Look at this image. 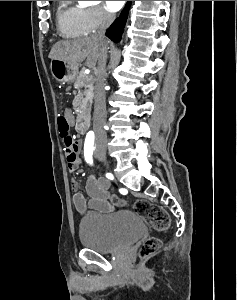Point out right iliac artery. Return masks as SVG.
<instances>
[{"mask_svg": "<svg viewBox=\"0 0 237 300\" xmlns=\"http://www.w3.org/2000/svg\"><path fill=\"white\" fill-rule=\"evenodd\" d=\"M93 145H94V134L93 132H88L84 144V156L86 162L89 163L90 165L93 164V159H92L93 150H94Z\"/></svg>", "mask_w": 237, "mask_h": 300, "instance_id": "82829eb1", "label": "right iliac artery"}]
</instances>
